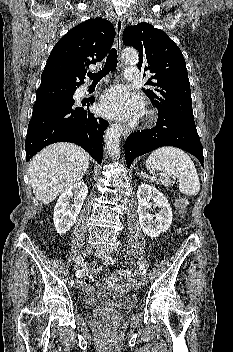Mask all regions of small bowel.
Wrapping results in <instances>:
<instances>
[{
    "label": "small bowel",
    "mask_w": 233,
    "mask_h": 352,
    "mask_svg": "<svg viewBox=\"0 0 233 352\" xmlns=\"http://www.w3.org/2000/svg\"><path fill=\"white\" fill-rule=\"evenodd\" d=\"M83 274H84V270H83V268H80V269L77 271V276H78L79 278H81V277L83 276Z\"/></svg>",
    "instance_id": "small-bowel-1"
}]
</instances>
